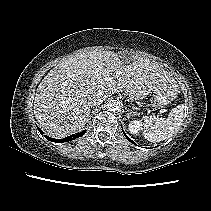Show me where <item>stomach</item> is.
Returning <instances> with one entry per match:
<instances>
[{"instance_id": "obj_1", "label": "stomach", "mask_w": 211, "mask_h": 211, "mask_svg": "<svg viewBox=\"0 0 211 211\" xmlns=\"http://www.w3.org/2000/svg\"><path fill=\"white\" fill-rule=\"evenodd\" d=\"M120 57H122L125 61H128L130 59V57L123 54L120 55ZM150 92L154 93V107H163L176 98L178 94V86L175 82H168L156 87ZM148 94V89L135 88L128 93V96L134 100H141Z\"/></svg>"}]
</instances>
